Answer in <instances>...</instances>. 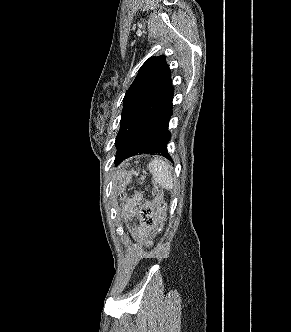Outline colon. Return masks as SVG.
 Instances as JSON below:
<instances>
[{
	"label": "colon",
	"mask_w": 291,
	"mask_h": 332,
	"mask_svg": "<svg viewBox=\"0 0 291 332\" xmlns=\"http://www.w3.org/2000/svg\"><path fill=\"white\" fill-rule=\"evenodd\" d=\"M141 225L145 229L153 227L155 222H162L165 218V202L159 192L153 202L144 203L139 211Z\"/></svg>",
	"instance_id": "5ec220e1"
}]
</instances>
